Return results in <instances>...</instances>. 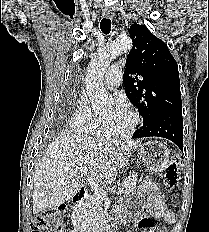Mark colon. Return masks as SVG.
Masks as SVG:
<instances>
[{"label": "colon", "mask_w": 209, "mask_h": 232, "mask_svg": "<svg viewBox=\"0 0 209 232\" xmlns=\"http://www.w3.org/2000/svg\"><path fill=\"white\" fill-rule=\"evenodd\" d=\"M182 163L178 157H173L165 171L164 185L174 188L181 176ZM32 232H52L55 225L60 232H69L70 228L63 222V208L56 207L36 214L32 219Z\"/></svg>", "instance_id": "colon-1"}]
</instances>
